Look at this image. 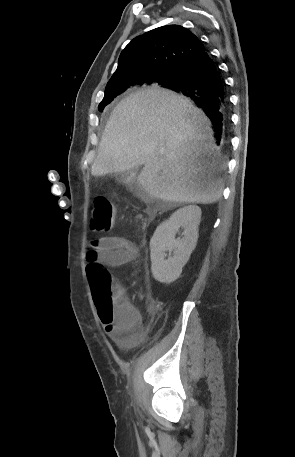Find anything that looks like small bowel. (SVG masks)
Segmentation results:
<instances>
[{
    "label": "small bowel",
    "mask_w": 295,
    "mask_h": 457,
    "mask_svg": "<svg viewBox=\"0 0 295 457\" xmlns=\"http://www.w3.org/2000/svg\"><path fill=\"white\" fill-rule=\"evenodd\" d=\"M137 256L138 249L135 244L121 236H104L93 240L86 254L88 262L95 261L109 267H120L132 262ZM100 321L104 331L112 338H128L130 331L141 323V316L137 309L124 299L123 310L118 317L107 322L101 319Z\"/></svg>",
    "instance_id": "1"
}]
</instances>
